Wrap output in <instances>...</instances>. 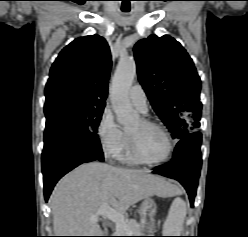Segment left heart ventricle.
Here are the masks:
<instances>
[{
  "label": "left heart ventricle",
  "instance_id": "b2bd125f",
  "mask_svg": "<svg viewBox=\"0 0 248 237\" xmlns=\"http://www.w3.org/2000/svg\"><path fill=\"white\" fill-rule=\"evenodd\" d=\"M127 132L133 137L139 151L145 158L158 160L165 156L168 144L158 129L145 126L138 120Z\"/></svg>",
  "mask_w": 248,
  "mask_h": 237
}]
</instances>
